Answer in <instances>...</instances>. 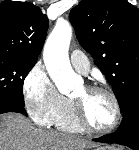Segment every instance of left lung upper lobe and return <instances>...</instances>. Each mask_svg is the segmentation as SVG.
<instances>
[{
	"label": "left lung upper lobe",
	"instance_id": "5c2ea615",
	"mask_svg": "<svg viewBox=\"0 0 139 150\" xmlns=\"http://www.w3.org/2000/svg\"><path fill=\"white\" fill-rule=\"evenodd\" d=\"M69 19L123 111L139 96V9L127 0H82Z\"/></svg>",
	"mask_w": 139,
	"mask_h": 150
}]
</instances>
